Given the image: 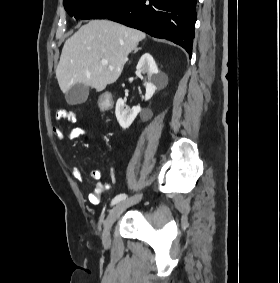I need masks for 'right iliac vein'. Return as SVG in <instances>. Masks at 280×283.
Returning <instances> with one entry per match:
<instances>
[{
	"label": "right iliac vein",
	"instance_id": "1",
	"mask_svg": "<svg viewBox=\"0 0 280 283\" xmlns=\"http://www.w3.org/2000/svg\"><path fill=\"white\" fill-rule=\"evenodd\" d=\"M143 194L139 193L134 197L118 203L107 216L104 223V230L102 235V241L105 246L110 245V230L115 221L120 217V215L130 206H133L141 201Z\"/></svg>",
	"mask_w": 280,
	"mask_h": 283
}]
</instances>
